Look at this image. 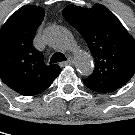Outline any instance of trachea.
<instances>
[{
  "label": "trachea",
  "mask_w": 135,
  "mask_h": 135,
  "mask_svg": "<svg viewBox=\"0 0 135 135\" xmlns=\"http://www.w3.org/2000/svg\"><path fill=\"white\" fill-rule=\"evenodd\" d=\"M66 60L67 59L63 53L57 52L51 57L50 63H57V62H62Z\"/></svg>",
  "instance_id": "3493384b"
}]
</instances>
